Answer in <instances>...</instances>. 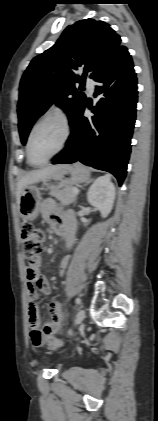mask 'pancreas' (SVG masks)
I'll return each instance as SVG.
<instances>
[{"label": "pancreas", "instance_id": "1", "mask_svg": "<svg viewBox=\"0 0 158 421\" xmlns=\"http://www.w3.org/2000/svg\"><path fill=\"white\" fill-rule=\"evenodd\" d=\"M75 187L70 186L61 190H53L50 195L55 197L61 204L68 205L76 200V195H73Z\"/></svg>", "mask_w": 158, "mask_h": 421}]
</instances>
